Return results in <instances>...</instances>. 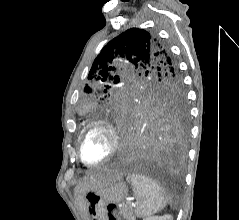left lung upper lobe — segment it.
<instances>
[{
    "mask_svg": "<svg viewBox=\"0 0 239 220\" xmlns=\"http://www.w3.org/2000/svg\"><path fill=\"white\" fill-rule=\"evenodd\" d=\"M134 72L136 77L129 75ZM79 112L90 118L140 110L185 111L180 69L154 34L131 28L105 45L88 74Z\"/></svg>",
    "mask_w": 239,
    "mask_h": 220,
    "instance_id": "1",
    "label": "left lung upper lobe"
}]
</instances>
